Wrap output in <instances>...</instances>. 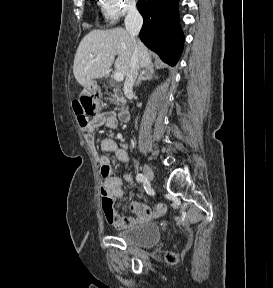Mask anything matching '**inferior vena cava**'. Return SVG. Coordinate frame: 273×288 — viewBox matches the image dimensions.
<instances>
[{"instance_id":"602c4592","label":"inferior vena cava","mask_w":273,"mask_h":288,"mask_svg":"<svg viewBox=\"0 0 273 288\" xmlns=\"http://www.w3.org/2000/svg\"><path fill=\"white\" fill-rule=\"evenodd\" d=\"M124 22L127 32L135 42V37L139 34V31L143 24V18L135 6H132L128 9ZM138 70H139V59L137 48L135 46L130 61V68L128 73L126 74V79L124 82V92L126 94L133 93V85L137 79Z\"/></svg>"}]
</instances>
